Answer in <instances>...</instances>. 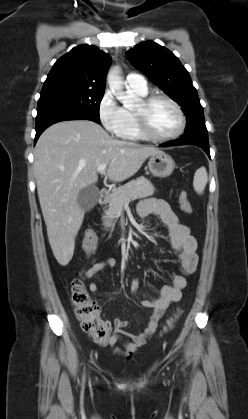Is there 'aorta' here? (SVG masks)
Masks as SVG:
<instances>
[{
	"label": "aorta",
	"mask_w": 248,
	"mask_h": 419,
	"mask_svg": "<svg viewBox=\"0 0 248 419\" xmlns=\"http://www.w3.org/2000/svg\"><path fill=\"white\" fill-rule=\"evenodd\" d=\"M120 69L118 67H112L107 75L108 85L115 95V97L123 104L125 108H132L135 103V96L128 95L123 91V81L119 75Z\"/></svg>",
	"instance_id": "aorta-1"
}]
</instances>
